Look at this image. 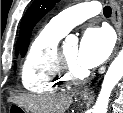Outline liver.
<instances>
[{"label": "liver", "instance_id": "1", "mask_svg": "<svg viewBox=\"0 0 123 113\" xmlns=\"http://www.w3.org/2000/svg\"><path fill=\"white\" fill-rule=\"evenodd\" d=\"M11 101L33 113H65L73 102L69 93L59 95H19Z\"/></svg>", "mask_w": 123, "mask_h": 113}]
</instances>
